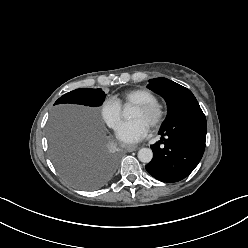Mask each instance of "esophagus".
<instances>
[{
  "instance_id": "obj_1",
  "label": "esophagus",
  "mask_w": 248,
  "mask_h": 248,
  "mask_svg": "<svg viewBox=\"0 0 248 248\" xmlns=\"http://www.w3.org/2000/svg\"><path fill=\"white\" fill-rule=\"evenodd\" d=\"M138 149L137 146H134V145H128V146H125V150L127 152H132V151H136Z\"/></svg>"
}]
</instances>
